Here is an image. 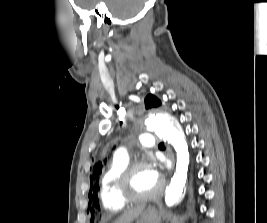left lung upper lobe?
<instances>
[{
  "mask_svg": "<svg viewBox=\"0 0 267 223\" xmlns=\"http://www.w3.org/2000/svg\"><path fill=\"white\" fill-rule=\"evenodd\" d=\"M160 105H161V101L153 95H148L145 98L146 109L158 107ZM101 171H102V162L99 161L93 168V176H90L91 188H90L89 196H90V202L92 203H90L89 206H87L86 214H103L102 206H100V204L98 203V200L95 199V195L97 191L99 190L98 181H99V175L101 174ZM93 180H94V184H93Z\"/></svg>",
  "mask_w": 267,
  "mask_h": 223,
  "instance_id": "1",
  "label": "left lung upper lobe"
}]
</instances>
